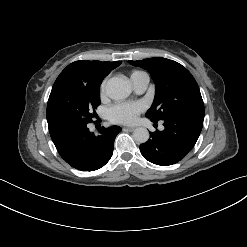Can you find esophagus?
I'll return each instance as SVG.
<instances>
[{"instance_id":"34e87169","label":"esophagus","mask_w":247,"mask_h":247,"mask_svg":"<svg viewBox=\"0 0 247 247\" xmlns=\"http://www.w3.org/2000/svg\"><path fill=\"white\" fill-rule=\"evenodd\" d=\"M123 130H125V131H134L135 127H123Z\"/></svg>"}]
</instances>
